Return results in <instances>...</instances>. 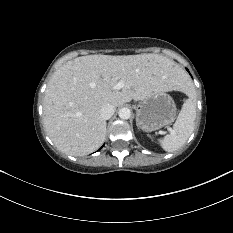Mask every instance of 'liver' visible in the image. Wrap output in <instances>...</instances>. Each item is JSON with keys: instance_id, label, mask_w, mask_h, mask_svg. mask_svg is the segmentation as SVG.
Listing matches in <instances>:
<instances>
[{"instance_id": "6515ba94", "label": "liver", "mask_w": 233, "mask_h": 233, "mask_svg": "<svg viewBox=\"0 0 233 233\" xmlns=\"http://www.w3.org/2000/svg\"><path fill=\"white\" fill-rule=\"evenodd\" d=\"M184 71L158 54L87 55L68 61L50 79L43 103L48 136L61 152L86 155L105 140L100 109L157 93L183 90ZM122 81L124 87L115 90Z\"/></svg>"}]
</instances>
